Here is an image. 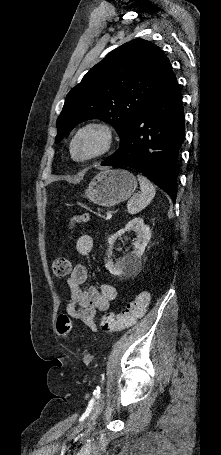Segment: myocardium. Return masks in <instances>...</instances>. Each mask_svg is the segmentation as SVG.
<instances>
[{
	"label": "myocardium",
	"instance_id": "myocardium-1",
	"mask_svg": "<svg viewBox=\"0 0 221 455\" xmlns=\"http://www.w3.org/2000/svg\"><path fill=\"white\" fill-rule=\"evenodd\" d=\"M87 133H94L98 135L101 139V144L94 153L84 157H79L76 155V144L78 140ZM114 141V131L109 124L102 121H90L80 126L74 133L70 142V152L76 161H90L109 152L114 145Z\"/></svg>",
	"mask_w": 221,
	"mask_h": 455
}]
</instances>
